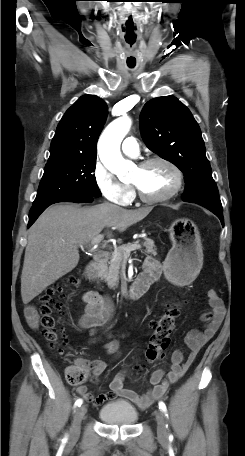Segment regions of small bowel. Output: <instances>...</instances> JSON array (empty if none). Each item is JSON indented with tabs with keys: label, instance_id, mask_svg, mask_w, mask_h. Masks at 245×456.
Wrapping results in <instances>:
<instances>
[{
	"label": "small bowel",
	"instance_id": "1",
	"mask_svg": "<svg viewBox=\"0 0 245 456\" xmlns=\"http://www.w3.org/2000/svg\"><path fill=\"white\" fill-rule=\"evenodd\" d=\"M146 262H153L158 265L157 261L152 258H148ZM206 295L210 305V311L202 315V320L205 322L204 329L202 331L191 330L185 337V343L190 350L188 357L184 359L183 353L180 350L174 351L171 356V369L167 372L162 369L155 370L150 377L153 387L146 394L140 395L124 387V381L129 376V371L126 369L119 372L112 380L109 391L94 396L87 387L80 386L77 389L78 393L86 401L96 406L116 397L125 398L140 409H146L151 406L157 399L163 396L169 384L176 383L186 373L201 348L214 336L224 318L226 311L225 305L218 293L214 290H208ZM82 299L86 307L78 321L80 328L89 329L92 334H95L98 330L110 325L114 309L108 297H102L93 291H87L83 294ZM25 314L30 326L36 328L38 326V315L34 307H27ZM105 348L110 354L117 353L119 349L118 340L111 339L107 342ZM78 361L90 367L93 382H97L98 377L106 367L105 363L100 360L85 361L80 359Z\"/></svg>",
	"mask_w": 245,
	"mask_h": 456
}]
</instances>
